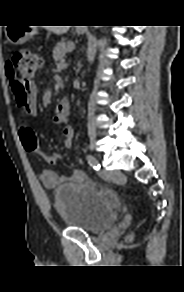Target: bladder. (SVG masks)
Segmentation results:
<instances>
[{
	"mask_svg": "<svg viewBox=\"0 0 184 292\" xmlns=\"http://www.w3.org/2000/svg\"><path fill=\"white\" fill-rule=\"evenodd\" d=\"M54 207L67 227L99 233L116 220L120 199L88 182L66 184L54 192Z\"/></svg>",
	"mask_w": 184,
	"mask_h": 292,
	"instance_id": "obj_1",
	"label": "bladder"
}]
</instances>
